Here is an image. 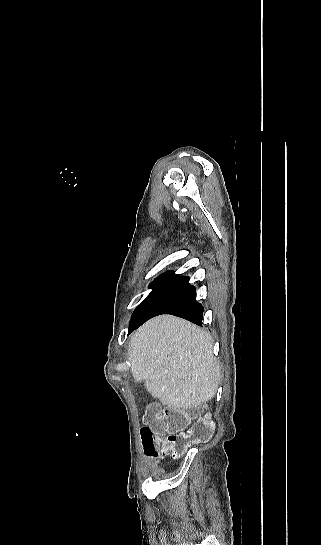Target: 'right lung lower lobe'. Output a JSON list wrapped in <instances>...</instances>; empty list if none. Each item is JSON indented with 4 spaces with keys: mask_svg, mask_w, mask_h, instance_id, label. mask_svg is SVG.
<instances>
[{
    "mask_svg": "<svg viewBox=\"0 0 321 545\" xmlns=\"http://www.w3.org/2000/svg\"><path fill=\"white\" fill-rule=\"evenodd\" d=\"M189 279L187 276H170L141 314L131 320L129 332L160 314L175 315L202 325L203 306L196 301L195 287L189 284Z\"/></svg>",
    "mask_w": 321,
    "mask_h": 545,
    "instance_id": "98d812e1",
    "label": "right lung lower lobe"
}]
</instances>
